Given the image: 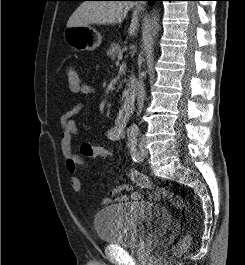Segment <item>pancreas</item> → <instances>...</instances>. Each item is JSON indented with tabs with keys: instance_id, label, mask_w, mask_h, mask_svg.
<instances>
[{
	"instance_id": "1",
	"label": "pancreas",
	"mask_w": 245,
	"mask_h": 265,
	"mask_svg": "<svg viewBox=\"0 0 245 265\" xmlns=\"http://www.w3.org/2000/svg\"><path fill=\"white\" fill-rule=\"evenodd\" d=\"M106 53L109 58L114 60L116 57H118L119 53H123V49L119 44L113 42Z\"/></svg>"
}]
</instances>
